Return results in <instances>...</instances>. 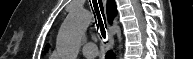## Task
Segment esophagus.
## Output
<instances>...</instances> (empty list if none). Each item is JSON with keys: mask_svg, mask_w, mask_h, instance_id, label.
Here are the masks:
<instances>
[{"mask_svg": "<svg viewBox=\"0 0 193 59\" xmlns=\"http://www.w3.org/2000/svg\"><path fill=\"white\" fill-rule=\"evenodd\" d=\"M99 2H100V1H98V0H91V1H90L93 9H94V5H96V3H97L98 6H99ZM94 10H95V9H94ZM108 39H109V42L107 43V47L109 48V47H111V46L114 44V37H113V35L110 34L109 37H108Z\"/></svg>", "mask_w": 193, "mask_h": 59, "instance_id": "obj_1", "label": "esophagus"}]
</instances>
